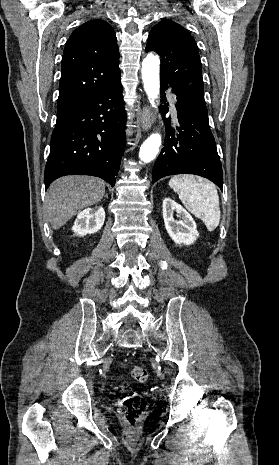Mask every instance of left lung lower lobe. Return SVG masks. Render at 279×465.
<instances>
[{
  "label": "left lung lower lobe",
  "mask_w": 279,
  "mask_h": 465,
  "mask_svg": "<svg viewBox=\"0 0 279 465\" xmlns=\"http://www.w3.org/2000/svg\"><path fill=\"white\" fill-rule=\"evenodd\" d=\"M162 100L170 87L160 80ZM172 92L175 91L172 89ZM176 94V93H175ZM177 115L179 125L172 129L170 118L165 119L166 140L152 171L153 183L167 175L195 174L208 178L222 190L223 176L208 116L185 102L178 94ZM163 113L164 108L161 107Z\"/></svg>",
  "instance_id": "0a47b994"
}]
</instances>
